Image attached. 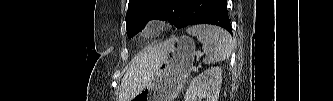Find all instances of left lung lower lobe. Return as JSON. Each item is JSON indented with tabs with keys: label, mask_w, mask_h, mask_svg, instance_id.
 Segmentation results:
<instances>
[{
	"label": "left lung lower lobe",
	"mask_w": 333,
	"mask_h": 101,
	"mask_svg": "<svg viewBox=\"0 0 333 101\" xmlns=\"http://www.w3.org/2000/svg\"><path fill=\"white\" fill-rule=\"evenodd\" d=\"M184 10L176 28L193 24L221 26L232 34L226 0H182Z\"/></svg>",
	"instance_id": "0a47b994"
}]
</instances>
